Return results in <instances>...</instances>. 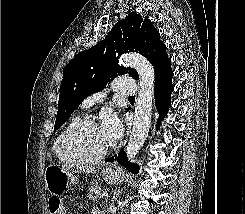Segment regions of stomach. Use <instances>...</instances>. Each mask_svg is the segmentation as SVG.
Wrapping results in <instances>:
<instances>
[{
	"mask_svg": "<svg viewBox=\"0 0 245 214\" xmlns=\"http://www.w3.org/2000/svg\"><path fill=\"white\" fill-rule=\"evenodd\" d=\"M102 176L107 183L116 184L121 178V172L105 169L102 171ZM44 181L46 189L52 195H62L78 183V178L72 171L51 164L45 169Z\"/></svg>",
	"mask_w": 245,
	"mask_h": 214,
	"instance_id": "stomach-1",
	"label": "stomach"
}]
</instances>
